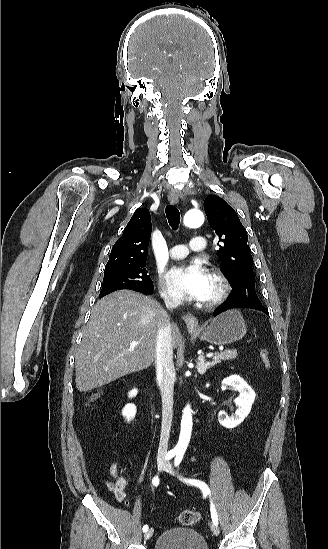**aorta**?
<instances>
[{
  "mask_svg": "<svg viewBox=\"0 0 328 549\" xmlns=\"http://www.w3.org/2000/svg\"><path fill=\"white\" fill-rule=\"evenodd\" d=\"M204 222V215L199 210H189L183 218V223L189 228H198ZM192 431V410L190 405H186L183 410L181 420V432L178 443L175 447L176 450L185 451L191 437Z\"/></svg>",
  "mask_w": 328,
  "mask_h": 549,
  "instance_id": "obj_1",
  "label": "aorta"
}]
</instances>
